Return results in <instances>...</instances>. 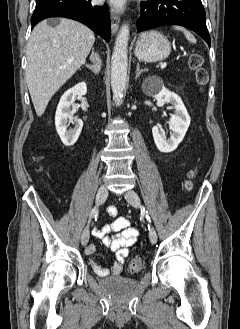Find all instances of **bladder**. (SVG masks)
Wrapping results in <instances>:
<instances>
[{"label": "bladder", "instance_id": "1", "mask_svg": "<svg viewBox=\"0 0 240 329\" xmlns=\"http://www.w3.org/2000/svg\"><path fill=\"white\" fill-rule=\"evenodd\" d=\"M101 288L114 297H122L136 287V280L124 276H111L101 279Z\"/></svg>", "mask_w": 240, "mask_h": 329}]
</instances>
